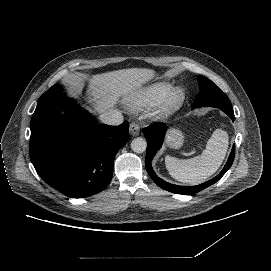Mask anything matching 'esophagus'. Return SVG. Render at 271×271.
Wrapping results in <instances>:
<instances>
[{"label": "esophagus", "mask_w": 271, "mask_h": 271, "mask_svg": "<svg viewBox=\"0 0 271 271\" xmlns=\"http://www.w3.org/2000/svg\"><path fill=\"white\" fill-rule=\"evenodd\" d=\"M139 133H140L139 124L136 122H131L130 123V135L135 137V136H138Z\"/></svg>", "instance_id": "34e87169"}]
</instances>
